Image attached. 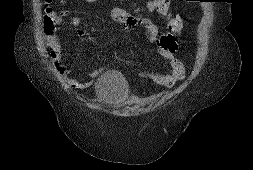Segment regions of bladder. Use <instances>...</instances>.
Returning a JSON list of instances; mask_svg holds the SVG:
<instances>
[{"label":"bladder","mask_w":253,"mask_h":170,"mask_svg":"<svg viewBox=\"0 0 253 170\" xmlns=\"http://www.w3.org/2000/svg\"><path fill=\"white\" fill-rule=\"evenodd\" d=\"M95 93L101 102L117 106L127 100L130 89L125 77L120 72L109 70L96 80Z\"/></svg>","instance_id":"obj_1"}]
</instances>
